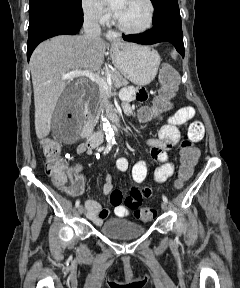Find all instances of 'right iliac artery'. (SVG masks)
Here are the masks:
<instances>
[{"mask_svg": "<svg viewBox=\"0 0 240 288\" xmlns=\"http://www.w3.org/2000/svg\"><path fill=\"white\" fill-rule=\"evenodd\" d=\"M113 144H114V142H108V145L104 151V154H107L111 150ZM79 205H80V200L78 199L75 203L76 208H78Z\"/></svg>", "mask_w": 240, "mask_h": 288, "instance_id": "82829eb1", "label": "right iliac artery"}]
</instances>
